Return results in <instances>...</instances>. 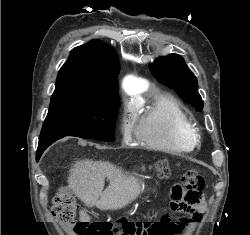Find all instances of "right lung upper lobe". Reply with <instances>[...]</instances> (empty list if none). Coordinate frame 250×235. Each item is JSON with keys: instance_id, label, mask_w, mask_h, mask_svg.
I'll return each mask as SVG.
<instances>
[{"instance_id": "1", "label": "right lung upper lobe", "mask_w": 250, "mask_h": 235, "mask_svg": "<svg viewBox=\"0 0 250 235\" xmlns=\"http://www.w3.org/2000/svg\"><path fill=\"white\" fill-rule=\"evenodd\" d=\"M119 62L115 50L100 40L74 48L61 67L51 98L117 93Z\"/></svg>"}]
</instances>
